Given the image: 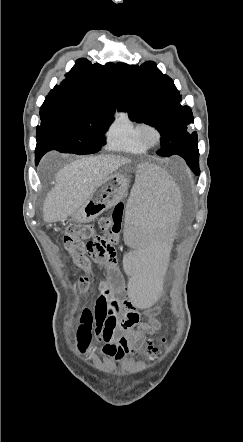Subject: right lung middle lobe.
<instances>
[{
	"instance_id": "dd1d6c3e",
	"label": "right lung middle lobe",
	"mask_w": 243,
	"mask_h": 442,
	"mask_svg": "<svg viewBox=\"0 0 243 442\" xmlns=\"http://www.w3.org/2000/svg\"><path fill=\"white\" fill-rule=\"evenodd\" d=\"M107 113H82L51 101L40 108L41 125L37 126L35 153L43 156L56 149L79 155L92 154L105 144L104 131L112 123Z\"/></svg>"
}]
</instances>
